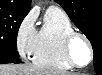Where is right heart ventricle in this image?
<instances>
[{"label": "right heart ventricle", "mask_w": 102, "mask_h": 75, "mask_svg": "<svg viewBox=\"0 0 102 75\" xmlns=\"http://www.w3.org/2000/svg\"><path fill=\"white\" fill-rule=\"evenodd\" d=\"M74 30L65 11L55 6L48 8L36 34L33 62L58 69L71 68L63 51V41Z\"/></svg>", "instance_id": "right-heart-ventricle-1"}]
</instances>
